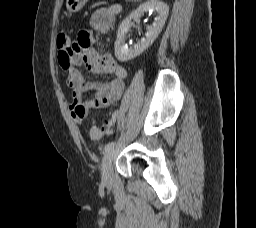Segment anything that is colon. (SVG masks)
<instances>
[{
	"instance_id": "5ec220e1",
	"label": "colon",
	"mask_w": 256,
	"mask_h": 228,
	"mask_svg": "<svg viewBox=\"0 0 256 228\" xmlns=\"http://www.w3.org/2000/svg\"><path fill=\"white\" fill-rule=\"evenodd\" d=\"M70 45H71V41H70L69 36H67L65 34H60L57 37L58 49L67 50L70 48ZM105 130H106L105 125H98L96 123H92L90 126V129H89V135L93 139H98L103 135Z\"/></svg>"
}]
</instances>
